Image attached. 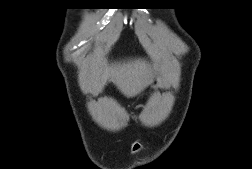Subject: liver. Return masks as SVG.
<instances>
[{
	"label": "liver",
	"instance_id": "1",
	"mask_svg": "<svg viewBox=\"0 0 252 169\" xmlns=\"http://www.w3.org/2000/svg\"><path fill=\"white\" fill-rule=\"evenodd\" d=\"M153 78L152 67L142 59L115 63L111 66L96 61L84 77V86L100 92L107 80L113 82L127 97H133L143 91Z\"/></svg>",
	"mask_w": 252,
	"mask_h": 169
}]
</instances>
